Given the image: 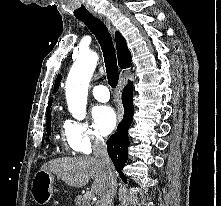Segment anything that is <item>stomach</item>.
<instances>
[{"mask_svg":"<svg viewBox=\"0 0 221 206\" xmlns=\"http://www.w3.org/2000/svg\"><path fill=\"white\" fill-rule=\"evenodd\" d=\"M56 178L53 174L40 170L32 181V197L38 205H44L52 196Z\"/></svg>","mask_w":221,"mask_h":206,"instance_id":"0dacf381","label":"stomach"}]
</instances>
